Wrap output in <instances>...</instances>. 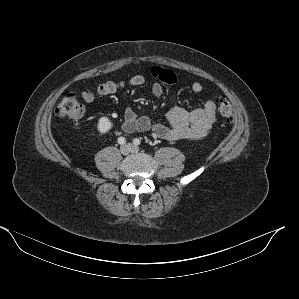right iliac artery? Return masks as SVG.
I'll list each match as a JSON object with an SVG mask.
<instances>
[{
	"label": "right iliac artery",
	"instance_id": "82829eb1",
	"mask_svg": "<svg viewBox=\"0 0 299 299\" xmlns=\"http://www.w3.org/2000/svg\"><path fill=\"white\" fill-rule=\"evenodd\" d=\"M118 143L121 144V145H123V144L126 143V139L124 137H119L118 138Z\"/></svg>",
	"mask_w": 299,
	"mask_h": 299
}]
</instances>
